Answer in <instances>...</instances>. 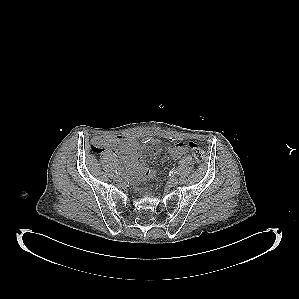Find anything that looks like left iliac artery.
Here are the masks:
<instances>
[{"label": "left iliac artery", "mask_w": 299, "mask_h": 299, "mask_svg": "<svg viewBox=\"0 0 299 299\" xmlns=\"http://www.w3.org/2000/svg\"><path fill=\"white\" fill-rule=\"evenodd\" d=\"M171 174H172V175L178 174V169H177L176 167H174V168L171 170Z\"/></svg>", "instance_id": "1"}]
</instances>
